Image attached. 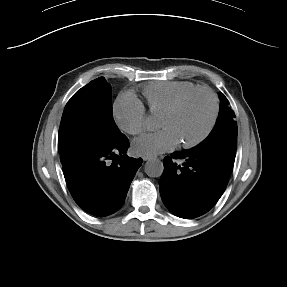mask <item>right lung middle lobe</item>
Segmentation results:
<instances>
[{
  "label": "right lung middle lobe",
  "instance_id": "obj_1",
  "mask_svg": "<svg viewBox=\"0 0 287 287\" xmlns=\"http://www.w3.org/2000/svg\"><path fill=\"white\" fill-rule=\"evenodd\" d=\"M123 136L112 115L111 86L99 77L78 90L65 106L58 133L61 163L110 147Z\"/></svg>",
  "mask_w": 287,
  "mask_h": 287
}]
</instances>
